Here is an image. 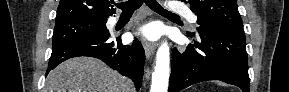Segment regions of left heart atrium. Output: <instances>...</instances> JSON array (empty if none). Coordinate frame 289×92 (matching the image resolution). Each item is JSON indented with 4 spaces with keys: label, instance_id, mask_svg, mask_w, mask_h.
I'll return each mask as SVG.
<instances>
[{
    "label": "left heart atrium",
    "instance_id": "left-heart-atrium-1",
    "mask_svg": "<svg viewBox=\"0 0 289 92\" xmlns=\"http://www.w3.org/2000/svg\"><path fill=\"white\" fill-rule=\"evenodd\" d=\"M160 32V27L157 24L149 23L140 26L136 31V35L147 40H155L159 37Z\"/></svg>",
    "mask_w": 289,
    "mask_h": 92
}]
</instances>
